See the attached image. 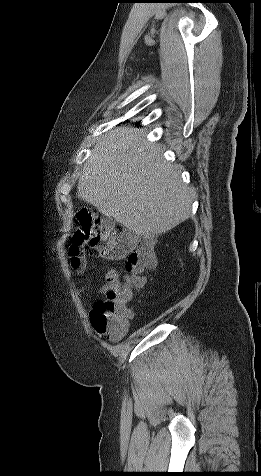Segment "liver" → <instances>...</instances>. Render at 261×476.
<instances>
[{
  "instance_id": "6515ba94",
  "label": "liver",
  "mask_w": 261,
  "mask_h": 476,
  "mask_svg": "<svg viewBox=\"0 0 261 476\" xmlns=\"http://www.w3.org/2000/svg\"><path fill=\"white\" fill-rule=\"evenodd\" d=\"M142 131L120 127L98 142L84 164L78 197L136 235L165 233L190 217L194 191L177 165L163 161L159 144H144Z\"/></svg>"
}]
</instances>
